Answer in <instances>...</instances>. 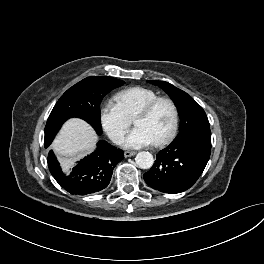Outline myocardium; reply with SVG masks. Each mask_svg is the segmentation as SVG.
Listing matches in <instances>:
<instances>
[{"mask_svg": "<svg viewBox=\"0 0 264 264\" xmlns=\"http://www.w3.org/2000/svg\"><path fill=\"white\" fill-rule=\"evenodd\" d=\"M160 103H167L170 106V108L172 110V124H171V127L168 130V132L162 138L158 139L157 141H154V144L157 146L164 145V144L168 143L174 137V135L176 134V131L178 129L179 110H178V107H177L176 103L174 102V100L169 98V97L159 96V97L153 99L152 101H150L149 103H147L134 116V121L137 118L147 117L154 111V109Z\"/></svg>", "mask_w": 264, "mask_h": 264, "instance_id": "myocardium-1", "label": "myocardium"}]
</instances>
